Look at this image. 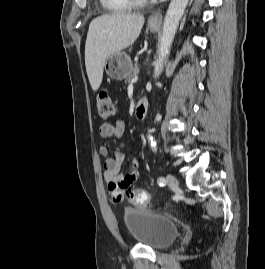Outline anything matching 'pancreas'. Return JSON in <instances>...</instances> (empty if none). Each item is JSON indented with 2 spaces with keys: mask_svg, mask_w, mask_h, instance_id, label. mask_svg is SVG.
<instances>
[{
  "mask_svg": "<svg viewBox=\"0 0 265 269\" xmlns=\"http://www.w3.org/2000/svg\"><path fill=\"white\" fill-rule=\"evenodd\" d=\"M139 73V68L137 65L134 66L132 73L129 75V77L127 78V81H131L134 77L137 76V74Z\"/></svg>",
  "mask_w": 265,
  "mask_h": 269,
  "instance_id": "cf45deb5",
  "label": "pancreas"
}]
</instances>
